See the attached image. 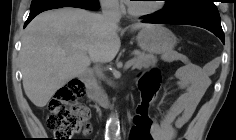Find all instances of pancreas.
<instances>
[{
  "mask_svg": "<svg viewBox=\"0 0 236 140\" xmlns=\"http://www.w3.org/2000/svg\"><path fill=\"white\" fill-rule=\"evenodd\" d=\"M133 54L135 58L133 59V68L142 69L149 68L150 66H155L157 63V58L153 54H147L139 50H134Z\"/></svg>",
  "mask_w": 236,
  "mask_h": 140,
  "instance_id": "pancreas-1",
  "label": "pancreas"
}]
</instances>
